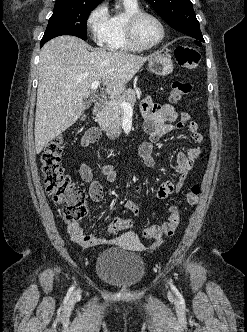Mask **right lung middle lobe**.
I'll return each mask as SVG.
<instances>
[{"label":"right lung middle lobe","instance_id":"obj_1","mask_svg":"<svg viewBox=\"0 0 247 332\" xmlns=\"http://www.w3.org/2000/svg\"><path fill=\"white\" fill-rule=\"evenodd\" d=\"M99 1L56 0L46 30L63 29L83 40L87 39V19Z\"/></svg>","mask_w":247,"mask_h":332}]
</instances>
